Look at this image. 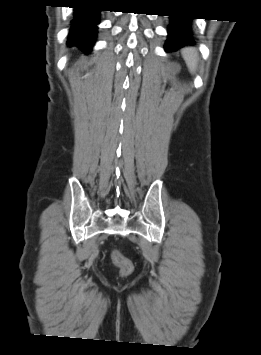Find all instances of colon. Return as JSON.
Segmentation results:
<instances>
[{
    "instance_id": "obj_1",
    "label": "colon",
    "mask_w": 261,
    "mask_h": 355,
    "mask_svg": "<svg viewBox=\"0 0 261 355\" xmlns=\"http://www.w3.org/2000/svg\"><path fill=\"white\" fill-rule=\"evenodd\" d=\"M111 258L116 266H118L123 275H127L132 272L133 265L129 259L124 257L119 251L114 250L111 253Z\"/></svg>"
}]
</instances>
